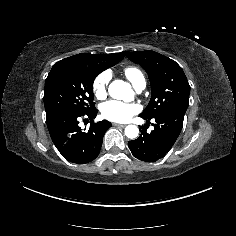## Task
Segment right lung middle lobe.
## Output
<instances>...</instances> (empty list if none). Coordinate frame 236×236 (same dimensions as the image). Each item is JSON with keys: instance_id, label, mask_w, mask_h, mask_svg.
<instances>
[{"instance_id": "right-lung-middle-lobe-1", "label": "right lung middle lobe", "mask_w": 236, "mask_h": 236, "mask_svg": "<svg viewBox=\"0 0 236 236\" xmlns=\"http://www.w3.org/2000/svg\"><path fill=\"white\" fill-rule=\"evenodd\" d=\"M109 66L92 57L66 58L55 63L45 80L46 117L66 112L83 114L94 107L93 82Z\"/></svg>"}]
</instances>
